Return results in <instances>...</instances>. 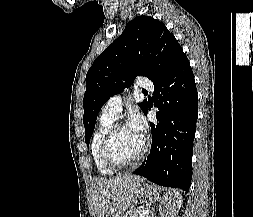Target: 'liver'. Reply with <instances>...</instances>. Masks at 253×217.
<instances>
[{
  "mask_svg": "<svg viewBox=\"0 0 253 217\" xmlns=\"http://www.w3.org/2000/svg\"><path fill=\"white\" fill-rule=\"evenodd\" d=\"M142 181L132 175L96 180L91 200L94 217H123L135 198L136 186Z\"/></svg>",
  "mask_w": 253,
  "mask_h": 217,
  "instance_id": "6515ba94",
  "label": "liver"
}]
</instances>
